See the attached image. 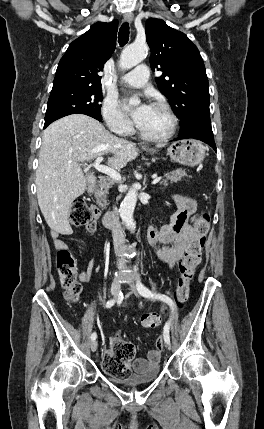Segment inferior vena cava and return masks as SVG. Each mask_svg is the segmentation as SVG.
<instances>
[{
    "label": "inferior vena cava",
    "mask_w": 264,
    "mask_h": 429,
    "mask_svg": "<svg viewBox=\"0 0 264 429\" xmlns=\"http://www.w3.org/2000/svg\"><path fill=\"white\" fill-rule=\"evenodd\" d=\"M116 223L112 226L113 228H111L109 231L112 233V235L114 236V241L116 244V248L119 249L116 253L119 256L118 260H117V267L118 269L122 270L126 267V260L124 257H122L121 255H125L127 252L125 250H123L124 248L122 246L119 245H125L127 242L125 241V238L123 236V229H122V219L120 216H116L115 219ZM121 256V257H120Z\"/></svg>",
    "instance_id": "602c4592"
}]
</instances>
